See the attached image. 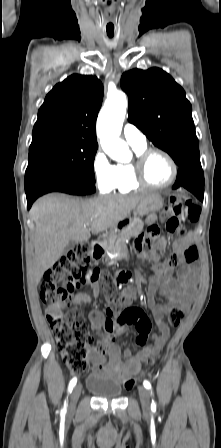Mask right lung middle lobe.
Wrapping results in <instances>:
<instances>
[{"label": "right lung middle lobe", "mask_w": 221, "mask_h": 448, "mask_svg": "<svg viewBox=\"0 0 221 448\" xmlns=\"http://www.w3.org/2000/svg\"><path fill=\"white\" fill-rule=\"evenodd\" d=\"M97 142L63 141L29 148L25 176L49 173L68 180L94 183Z\"/></svg>", "instance_id": "1"}]
</instances>
